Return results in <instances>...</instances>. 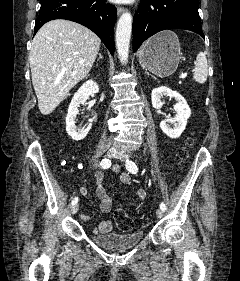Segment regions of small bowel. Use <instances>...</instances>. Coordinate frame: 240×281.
<instances>
[{
    "label": "small bowel",
    "mask_w": 240,
    "mask_h": 281,
    "mask_svg": "<svg viewBox=\"0 0 240 281\" xmlns=\"http://www.w3.org/2000/svg\"><path fill=\"white\" fill-rule=\"evenodd\" d=\"M112 172L115 175L119 176L120 181L126 187V189H131L133 186L131 177L128 173L122 172L119 166H114L112 168ZM104 174L102 171H97L95 173L96 180V196L100 201V209L103 213H109L112 208V198L106 191L103 186ZM80 194L86 196L88 194V190L85 187L80 188ZM147 194L143 188H138L136 191V199L132 202L135 204L136 201L144 200ZM81 219L83 221H88L90 219L89 215L81 214ZM113 232V225L109 219L103 220L97 227L93 228L94 234H109Z\"/></svg>",
    "instance_id": "obj_1"
}]
</instances>
